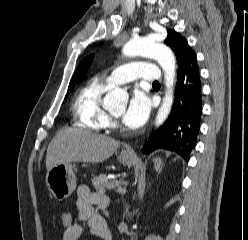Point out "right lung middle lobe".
<instances>
[{
    "instance_id": "1",
    "label": "right lung middle lobe",
    "mask_w": 248,
    "mask_h": 240,
    "mask_svg": "<svg viewBox=\"0 0 248 240\" xmlns=\"http://www.w3.org/2000/svg\"><path fill=\"white\" fill-rule=\"evenodd\" d=\"M77 82H70L68 92H71Z\"/></svg>"
}]
</instances>
